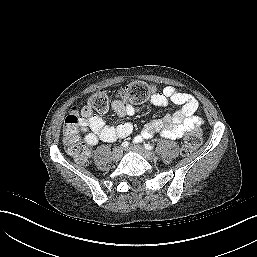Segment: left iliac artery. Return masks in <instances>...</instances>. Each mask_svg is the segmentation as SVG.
<instances>
[{"instance_id":"obj_1","label":"left iliac artery","mask_w":257,"mask_h":257,"mask_svg":"<svg viewBox=\"0 0 257 257\" xmlns=\"http://www.w3.org/2000/svg\"><path fill=\"white\" fill-rule=\"evenodd\" d=\"M144 147H145V149H147V150H153V146L152 145H150V144H144Z\"/></svg>"}]
</instances>
